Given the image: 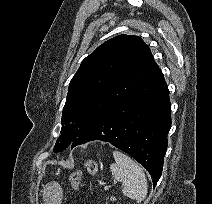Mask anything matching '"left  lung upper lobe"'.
I'll return each instance as SVG.
<instances>
[{
	"instance_id": "left-lung-upper-lobe-1",
	"label": "left lung upper lobe",
	"mask_w": 212,
	"mask_h": 204,
	"mask_svg": "<svg viewBox=\"0 0 212 204\" xmlns=\"http://www.w3.org/2000/svg\"><path fill=\"white\" fill-rule=\"evenodd\" d=\"M158 68L150 49L137 36L119 35L100 45L70 81L54 152L70 144L73 148L86 130Z\"/></svg>"
}]
</instances>
